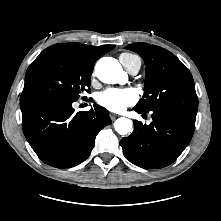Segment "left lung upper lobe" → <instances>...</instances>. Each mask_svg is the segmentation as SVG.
Listing matches in <instances>:
<instances>
[{
    "label": "left lung upper lobe",
    "instance_id": "5c2ea615",
    "mask_svg": "<svg viewBox=\"0 0 221 221\" xmlns=\"http://www.w3.org/2000/svg\"><path fill=\"white\" fill-rule=\"evenodd\" d=\"M126 49L138 53L146 65L145 97L134 107L143 112L173 107L197 112L198 98L193 77L171 52L147 43H135Z\"/></svg>",
    "mask_w": 221,
    "mask_h": 221
}]
</instances>
